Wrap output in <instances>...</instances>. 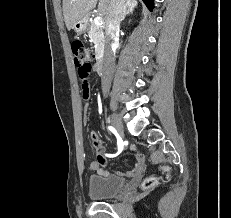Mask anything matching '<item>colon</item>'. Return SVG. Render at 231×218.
<instances>
[{
    "mask_svg": "<svg viewBox=\"0 0 231 218\" xmlns=\"http://www.w3.org/2000/svg\"><path fill=\"white\" fill-rule=\"evenodd\" d=\"M71 50L74 56V63L79 69L80 66H86L90 63H94V53L91 49L85 46V44L81 40H74L71 43ZM164 171H169V168L167 166L163 167ZM158 183V179L156 177H149L143 182V188L144 189H151L154 186H156Z\"/></svg>",
    "mask_w": 231,
    "mask_h": 218,
    "instance_id": "1",
    "label": "colon"
}]
</instances>
